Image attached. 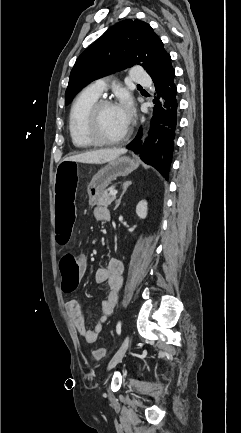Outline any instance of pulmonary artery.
Listing matches in <instances>:
<instances>
[{
  "mask_svg": "<svg viewBox=\"0 0 241 433\" xmlns=\"http://www.w3.org/2000/svg\"><path fill=\"white\" fill-rule=\"evenodd\" d=\"M130 80L137 84H149V76L145 73L142 68L134 67L130 72ZM107 84L104 79H98L90 83L87 87L89 91L97 96H100L106 90Z\"/></svg>",
  "mask_w": 241,
  "mask_h": 433,
  "instance_id": "obj_1",
  "label": "pulmonary artery"
}]
</instances>
